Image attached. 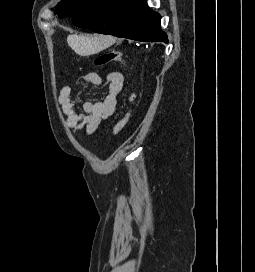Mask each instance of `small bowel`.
Returning a JSON list of instances; mask_svg holds the SVG:
<instances>
[{"instance_id": "small-bowel-1", "label": "small bowel", "mask_w": 255, "mask_h": 272, "mask_svg": "<svg viewBox=\"0 0 255 272\" xmlns=\"http://www.w3.org/2000/svg\"><path fill=\"white\" fill-rule=\"evenodd\" d=\"M83 81L94 86H101V77L94 72L84 75ZM107 94L97 102L86 101L82 104L83 113H78L72 100V88L65 85L59 94L61 104L69 128L76 132L92 135L101 121L110 118L115 112L118 96L123 89V75L120 72H110L106 76Z\"/></svg>"}]
</instances>
